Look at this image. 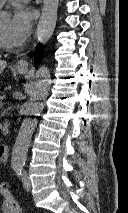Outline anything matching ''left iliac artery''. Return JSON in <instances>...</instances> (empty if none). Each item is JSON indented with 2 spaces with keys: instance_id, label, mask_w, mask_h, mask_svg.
Listing matches in <instances>:
<instances>
[{
  "instance_id": "1",
  "label": "left iliac artery",
  "mask_w": 128,
  "mask_h": 213,
  "mask_svg": "<svg viewBox=\"0 0 128 213\" xmlns=\"http://www.w3.org/2000/svg\"><path fill=\"white\" fill-rule=\"evenodd\" d=\"M22 168H23L22 165H18V166H16L14 168V170H15V172H16V174H17L18 177H20L22 175Z\"/></svg>"
}]
</instances>
